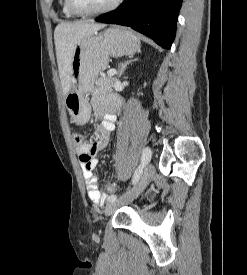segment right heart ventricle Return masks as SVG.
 I'll return each instance as SVG.
<instances>
[{
    "label": "right heart ventricle",
    "instance_id": "1",
    "mask_svg": "<svg viewBox=\"0 0 247 275\" xmlns=\"http://www.w3.org/2000/svg\"><path fill=\"white\" fill-rule=\"evenodd\" d=\"M63 12L67 17H76L77 14L72 12L67 6L66 0H63Z\"/></svg>",
    "mask_w": 247,
    "mask_h": 275
}]
</instances>
